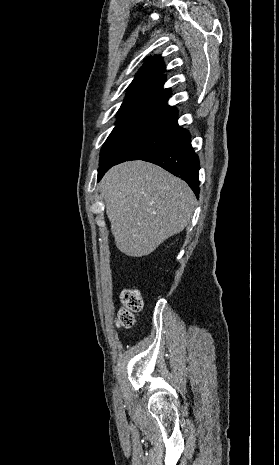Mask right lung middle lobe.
<instances>
[{
	"mask_svg": "<svg viewBox=\"0 0 279 465\" xmlns=\"http://www.w3.org/2000/svg\"><path fill=\"white\" fill-rule=\"evenodd\" d=\"M181 128L150 123L117 125L100 153V168L129 160H143L153 153L172 145Z\"/></svg>",
	"mask_w": 279,
	"mask_h": 465,
	"instance_id": "dd1d6c3e",
	"label": "right lung middle lobe"
}]
</instances>
